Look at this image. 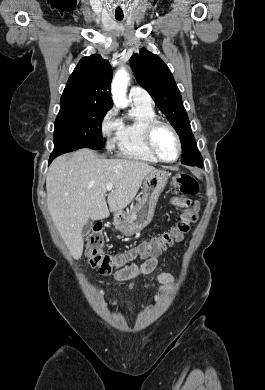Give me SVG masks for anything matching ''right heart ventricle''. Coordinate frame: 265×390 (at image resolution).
Listing matches in <instances>:
<instances>
[{
  "label": "right heart ventricle",
  "instance_id": "right-heart-ventricle-1",
  "mask_svg": "<svg viewBox=\"0 0 265 390\" xmlns=\"http://www.w3.org/2000/svg\"><path fill=\"white\" fill-rule=\"evenodd\" d=\"M155 118L157 116L152 105L133 103L132 119L121 120L113 142L120 157L148 163L158 162L147 150L143 139L144 126Z\"/></svg>",
  "mask_w": 265,
  "mask_h": 390
}]
</instances>
